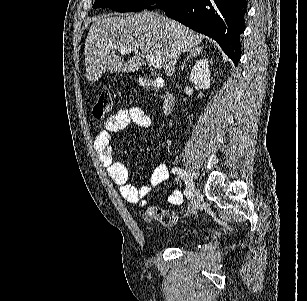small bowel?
Masks as SVG:
<instances>
[{"instance_id":"1","label":"small bowel","mask_w":307,"mask_h":301,"mask_svg":"<svg viewBox=\"0 0 307 301\" xmlns=\"http://www.w3.org/2000/svg\"><path fill=\"white\" fill-rule=\"evenodd\" d=\"M130 125L140 128L150 126V119L146 113L137 106L121 108L113 113L105 122L104 129L95 138V148L100 155L102 164L106 167L109 176L119 187L122 197L130 203L146 204L145 198L150 194L152 187L161 184L169 177L167 166L159 164L150 176L149 182L135 187L128 183V172L124 164L113 159V134L126 129ZM167 202L171 205H180L183 195L179 190H173Z\"/></svg>"}]
</instances>
